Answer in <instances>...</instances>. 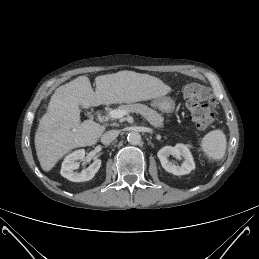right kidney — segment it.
<instances>
[{"mask_svg": "<svg viewBox=\"0 0 259 259\" xmlns=\"http://www.w3.org/2000/svg\"><path fill=\"white\" fill-rule=\"evenodd\" d=\"M84 157V149L76 150L66 156L62 163L61 175L72 182H84L91 180L100 169L101 160L96 159L87 169H84L79 173L75 172L74 170L79 168V162L77 161H82Z\"/></svg>", "mask_w": 259, "mask_h": 259, "instance_id": "obj_1", "label": "right kidney"}]
</instances>
